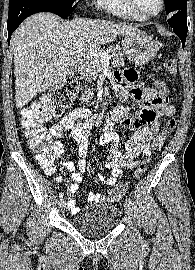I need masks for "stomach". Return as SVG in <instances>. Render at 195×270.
<instances>
[{"label": "stomach", "instance_id": "stomach-1", "mask_svg": "<svg viewBox=\"0 0 195 270\" xmlns=\"http://www.w3.org/2000/svg\"><path fill=\"white\" fill-rule=\"evenodd\" d=\"M122 47L128 60L138 65L151 61L159 50L158 42L143 31L125 35Z\"/></svg>", "mask_w": 195, "mask_h": 270}]
</instances>
